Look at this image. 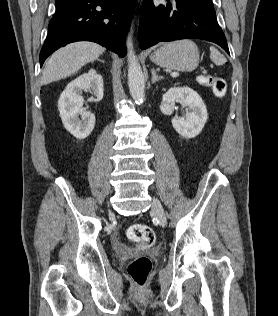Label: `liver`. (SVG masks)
<instances>
[{
    "label": "liver",
    "instance_id": "obj_1",
    "mask_svg": "<svg viewBox=\"0 0 278 316\" xmlns=\"http://www.w3.org/2000/svg\"><path fill=\"white\" fill-rule=\"evenodd\" d=\"M104 51L102 46L89 41L71 43L57 50L45 63L41 84L46 85L77 73L87 63L98 59Z\"/></svg>",
    "mask_w": 278,
    "mask_h": 316
}]
</instances>
